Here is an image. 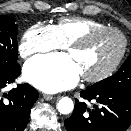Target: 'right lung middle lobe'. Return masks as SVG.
<instances>
[{
  "label": "right lung middle lobe",
  "mask_w": 131,
  "mask_h": 131,
  "mask_svg": "<svg viewBox=\"0 0 131 131\" xmlns=\"http://www.w3.org/2000/svg\"><path fill=\"white\" fill-rule=\"evenodd\" d=\"M17 24L9 16H0V75L19 68L17 62Z\"/></svg>",
  "instance_id": "obj_1"
}]
</instances>
